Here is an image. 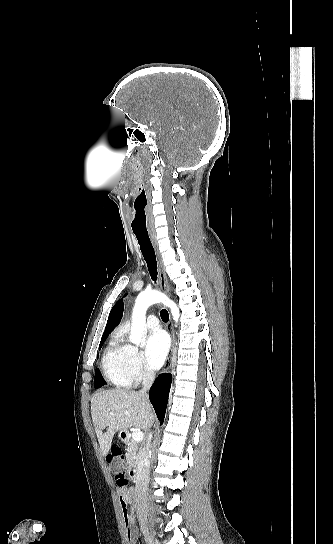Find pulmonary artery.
<instances>
[{
    "label": "pulmonary artery",
    "mask_w": 333,
    "mask_h": 544,
    "mask_svg": "<svg viewBox=\"0 0 333 544\" xmlns=\"http://www.w3.org/2000/svg\"><path fill=\"white\" fill-rule=\"evenodd\" d=\"M146 324L151 330L157 331L159 329V320L155 315H149Z\"/></svg>",
    "instance_id": "1"
}]
</instances>
